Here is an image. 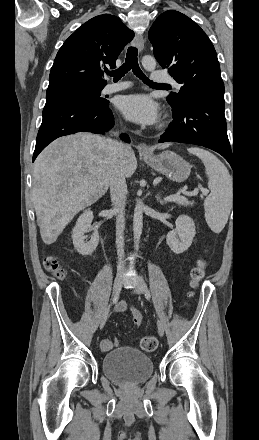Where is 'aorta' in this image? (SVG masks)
Segmentation results:
<instances>
[{"mask_svg": "<svg viewBox=\"0 0 259 440\" xmlns=\"http://www.w3.org/2000/svg\"><path fill=\"white\" fill-rule=\"evenodd\" d=\"M142 66L147 71H153L156 68V60L151 56H144L142 58ZM143 227V210L141 203H137L134 209L133 217V235H134V247L136 250L139 248V242L142 234Z\"/></svg>", "mask_w": 259, "mask_h": 440, "instance_id": "762f6f07", "label": "aorta"}]
</instances>
